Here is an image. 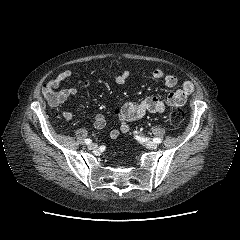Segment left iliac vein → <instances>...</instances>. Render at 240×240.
Returning a JSON list of instances; mask_svg holds the SVG:
<instances>
[{"label": "left iliac vein", "mask_w": 240, "mask_h": 240, "mask_svg": "<svg viewBox=\"0 0 240 240\" xmlns=\"http://www.w3.org/2000/svg\"><path fill=\"white\" fill-rule=\"evenodd\" d=\"M139 141L149 149H156L158 147L157 143H155L153 141H147L142 138H140Z\"/></svg>", "instance_id": "4c4485c4"}]
</instances>
